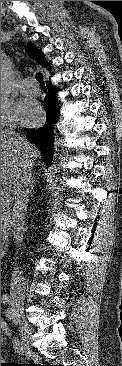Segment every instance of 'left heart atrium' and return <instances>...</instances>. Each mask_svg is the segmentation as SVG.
I'll use <instances>...</instances> for the list:
<instances>
[{"mask_svg": "<svg viewBox=\"0 0 122 366\" xmlns=\"http://www.w3.org/2000/svg\"><path fill=\"white\" fill-rule=\"evenodd\" d=\"M14 116L23 125H35L41 119L42 110L36 102L22 99L15 106Z\"/></svg>", "mask_w": 122, "mask_h": 366, "instance_id": "39dd6f15", "label": "left heart atrium"}]
</instances>
